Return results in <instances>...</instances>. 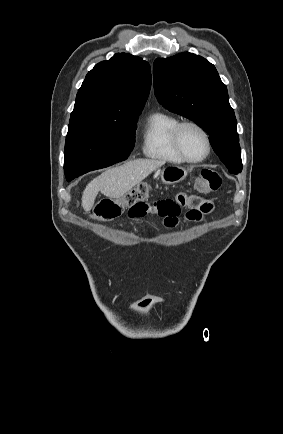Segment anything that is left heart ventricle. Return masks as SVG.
<instances>
[{"instance_id":"1","label":"left heart ventricle","mask_w":283,"mask_h":434,"mask_svg":"<svg viewBox=\"0 0 283 434\" xmlns=\"http://www.w3.org/2000/svg\"><path fill=\"white\" fill-rule=\"evenodd\" d=\"M181 146L190 158H200L206 152V143L203 135L194 127L188 126L181 131Z\"/></svg>"}]
</instances>
